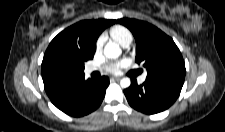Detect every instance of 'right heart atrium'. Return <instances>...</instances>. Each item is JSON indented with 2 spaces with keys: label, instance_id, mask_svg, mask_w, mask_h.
Returning <instances> with one entry per match:
<instances>
[{
  "label": "right heart atrium",
  "instance_id": "d8ad5b80",
  "mask_svg": "<svg viewBox=\"0 0 225 132\" xmlns=\"http://www.w3.org/2000/svg\"><path fill=\"white\" fill-rule=\"evenodd\" d=\"M102 44H103V38L100 37L98 38L97 42H96V50L99 51L102 47Z\"/></svg>",
  "mask_w": 225,
  "mask_h": 132
}]
</instances>
